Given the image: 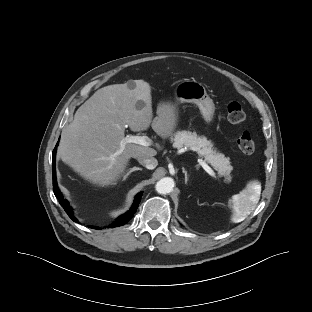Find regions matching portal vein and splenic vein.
I'll return each mask as SVG.
<instances>
[{"mask_svg": "<svg viewBox=\"0 0 312 312\" xmlns=\"http://www.w3.org/2000/svg\"><path fill=\"white\" fill-rule=\"evenodd\" d=\"M126 143H135V144L142 145V146H150L152 141L148 136L127 135L121 144V149L117 152V154H120L123 152ZM201 165L208 174H210L211 176L215 175L214 171L205 161H202Z\"/></svg>", "mask_w": 312, "mask_h": 312, "instance_id": "18ae733b", "label": "portal vein and splenic vein"}]
</instances>
